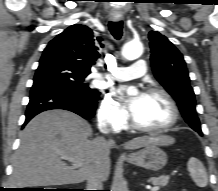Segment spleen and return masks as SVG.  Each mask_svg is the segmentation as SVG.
I'll return each mask as SVG.
<instances>
[{
    "instance_id": "obj_1",
    "label": "spleen",
    "mask_w": 218,
    "mask_h": 191,
    "mask_svg": "<svg viewBox=\"0 0 218 191\" xmlns=\"http://www.w3.org/2000/svg\"><path fill=\"white\" fill-rule=\"evenodd\" d=\"M187 166L195 184L199 187H206L208 178L203 164L197 158L191 157Z\"/></svg>"
}]
</instances>
